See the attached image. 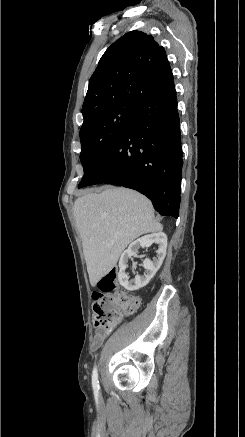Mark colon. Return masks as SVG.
I'll list each match as a JSON object with an SVG mask.
<instances>
[{"mask_svg":"<svg viewBox=\"0 0 245 437\" xmlns=\"http://www.w3.org/2000/svg\"><path fill=\"white\" fill-rule=\"evenodd\" d=\"M93 292V312L96 335H107L120 321L122 313L131 314L141 304L138 296L118 290V272L112 269L98 281Z\"/></svg>","mask_w":245,"mask_h":437,"instance_id":"colon-1","label":"colon"}]
</instances>
